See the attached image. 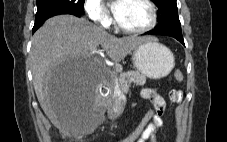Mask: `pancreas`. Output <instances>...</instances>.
Segmentation results:
<instances>
[{"instance_id": "pancreas-1", "label": "pancreas", "mask_w": 227, "mask_h": 142, "mask_svg": "<svg viewBox=\"0 0 227 142\" xmlns=\"http://www.w3.org/2000/svg\"><path fill=\"white\" fill-rule=\"evenodd\" d=\"M115 81L118 82L120 90L123 93H128L131 84L144 85L146 83V77L139 71H128L121 73L118 77H115Z\"/></svg>"}]
</instances>
